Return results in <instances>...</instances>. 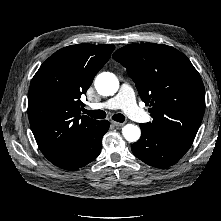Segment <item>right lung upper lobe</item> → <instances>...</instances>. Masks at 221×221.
<instances>
[{
	"label": "right lung upper lobe",
	"instance_id": "right-lung-upper-lobe-1",
	"mask_svg": "<svg viewBox=\"0 0 221 221\" xmlns=\"http://www.w3.org/2000/svg\"><path fill=\"white\" fill-rule=\"evenodd\" d=\"M115 46L77 44L55 52L34 75L28 116L40 151L50 161L81 156L83 140L97 122L80 111L94 76Z\"/></svg>",
	"mask_w": 221,
	"mask_h": 221
}]
</instances>
